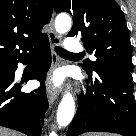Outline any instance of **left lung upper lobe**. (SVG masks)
Masks as SVG:
<instances>
[{
	"label": "left lung upper lobe",
	"mask_w": 136,
	"mask_h": 136,
	"mask_svg": "<svg viewBox=\"0 0 136 136\" xmlns=\"http://www.w3.org/2000/svg\"><path fill=\"white\" fill-rule=\"evenodd\" d=\"M53 7L74 17L68 36L81 35L84 47L97 57L82 64L87 72H132L129 30L115 0H53Z\"/></svg>",
	"instance_id": "5c2ea615"
}]
</instances>
